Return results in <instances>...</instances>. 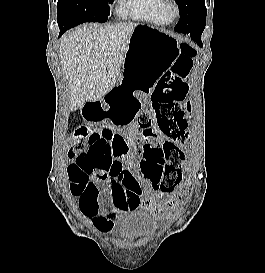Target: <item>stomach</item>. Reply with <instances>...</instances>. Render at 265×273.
<instances>
[{
  "label": "stomach",
  "instance_id": "obj_1",
  "mask_svg": "<svg viewBox=\"0 0 265 273\" xmlns=\"http://www.w3.org/2000/svg\"><path fill=\"white\" fill-rule=\"evenodd\" d=\"M178 47V41L166 31L138 25L130 37L123 74L114 90H132L135 95H149L151 86L176 58ZM131 78L137 80H129Z\"/></svg>",
  "mask_w": 265,
  "mask_h": 273
}]
</instances>
